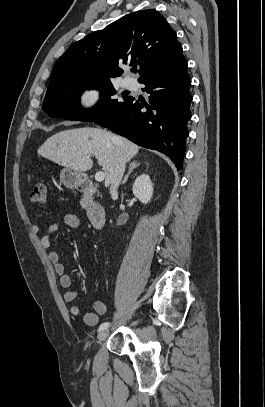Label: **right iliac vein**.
<instances>
[{
    "label": "right iliac vein",
    "mask_w": 265,
    "mask_h": 407,
    "mask_svg": "<svg viewBox=\"0 0 265 407\" xmlns=\"http://www.w3.org/2000/svg\"><path fill=\"white\" fill-rule=\"evenodd\" d=\"M107 336H108V330H101L98 333L97 337H98L99 342H102L106 339Z\"/></svg>",
    "instance_id": "1"
}]
</instances>
